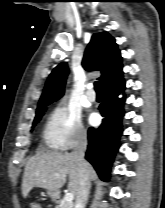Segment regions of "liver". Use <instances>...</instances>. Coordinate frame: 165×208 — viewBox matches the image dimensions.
I'll return each mask as SVG.
<instances>
[{
    "mask_svg": "<svg viewBox=\"0 0 165 208\" xmlns=\"http://www.w3.org/2000/svg\"><path fill=\"white\" fill-rule=\"evenodd\" d=\"M88 175L90 180L97 178L93 167L88 163ZM59 174V177H56ZM69 176L68 189L77 197L80 181L76 162L71 153H54L40 151L30 157L26 163L23 180L22 195L27 197L33 187L56 191L65 184L66 177Z\"/></svg>",
    "mask_w": 165,
    "mask_h": 208,
    "instance_id": "obj_1",
    "label": "liver"
}]
</instances>
